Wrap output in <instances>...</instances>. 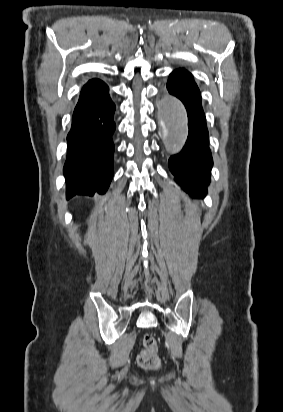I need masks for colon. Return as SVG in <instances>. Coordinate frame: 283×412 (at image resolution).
I'll use <instances>...</instances> for the list:
<instances>
[{"label": "colon", "mask_w": 283, "mask_h": 412, "mask_svg": "<svg viewBox=\"0 0 283 412\" xmlns=\"http://www.w3.org/2000/svg\"><path fill=\"white\" fill-rule=\"evenodd\" d=\"M140 367L147 370L156 369L160 366L161 360L158 354V345L153 334L146 333L143 337V350L137 357Z\"/></svg>", "instance_id": "obj_1"}]
</instances>
